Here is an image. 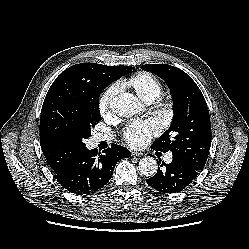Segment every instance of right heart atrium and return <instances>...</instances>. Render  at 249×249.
<instances>
[{
	"label": "right heart atrium",
	"instance_id": "right-heart-atrium-1",
	"mask_svg": "<svg viewBox=\"0 0 249 249\" xmlns=\"http://www.w3.org/2000/svg\"><path fill=\"white\" fill-rule=\"evenodd\" d=\"M117 86L110 85L107 87L99 97L98 100V111L102 117H107L111 113V102L117 93Z\"/></svg>",
	"mask_w": 249,
	"mask_h": 249
}]
</instances>
